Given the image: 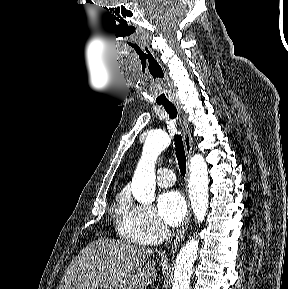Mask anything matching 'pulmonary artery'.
<instances>
[{
  "label": "pulmonary artery",
  "instance_id": "obj_1",
  "mask_svg": "<svg viewBox=\"0 0 288 289\" xmlns=\"http://www.w3.org/2000/svg\"><path fill=\"white\" fill-rule=\"evenodd\" d=\"M157 183L162 187H169L175 183V174L171 169L160 168L157 171Z\"/></svg>",
  "mask_w": 288,
  "mask_h": 289
}]
</instances>
